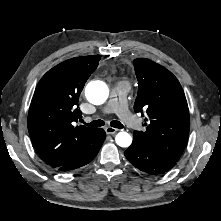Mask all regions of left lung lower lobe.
<instances>
[{"label": "left lung lower lobe", "instance_id": "0a47b994", "mask_svg": "<svg viewBox=\"0 0 221 221\" xmlns=\"http://www.w3.org/2000/svg\"><path fill=\"white\" fill-rule=\"evenodd\" d=\"M128 161L149 175H160L169 171L177 161L133 136V142L124 152Z\"/></svg>", "mask_w": 221, "mask_h": 221}]
</instances>
